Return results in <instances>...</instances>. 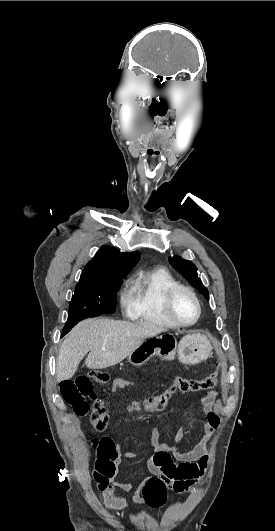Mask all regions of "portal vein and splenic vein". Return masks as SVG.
Returning a JSON list of instances; mask_svg holds the SVG:
<instances>
[{"instance_id":"1","label":"portal vein and splenic vein","mask_w":275,"mask_h":531,"mask_svg":"<svg viewBox=\"0 0 275 531\" xmlns=\"http://www.w3.org/2000/svg\"><path fill=\"white\" fill-rule=\"evenodd\" d=\"M102 351H107V349H105V347H102Z\"/></svg>"}]
</instances>
